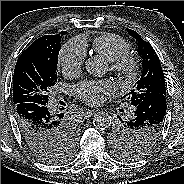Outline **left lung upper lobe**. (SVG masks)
Returning <instances> with one entry per match:
<instances>
[{"label": "left lung upper lobe", "instance_id": "5c2ea615", "mask_svg": "<svg viewBox=\"0 0 184 184\" xmlns=\"http://www.w3.org/2000/svg\"><path fill=\"white\" fill-rule=\"evenodd\" d=\"M127 32L137 41V52L142 59L143 66L140 79L127 94V99L136 107L140 102L155 94L166 95V84L159 58L153 47L134 30L127 29ZM125 97L126 95L123 96V98ZM159 127L142 126L137 128L130 125L128 121L120 119L109 135L115 154L120 159L128 161L141 158L151 150L160 137L153 141ZM142 141H146V145L142 149L136 148L135 144Z\"/></svg>", "mask_w": 184, "mask_h": 184}]
</instances>
